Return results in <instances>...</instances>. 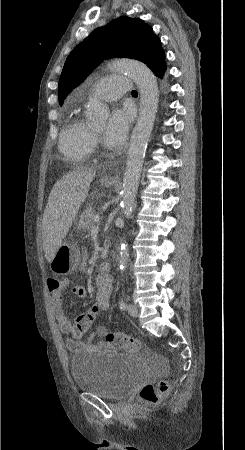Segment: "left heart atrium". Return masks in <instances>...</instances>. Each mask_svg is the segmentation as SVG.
Wrapping results in <instances>:
<instances>
[{"mask_svg": "<svg viewBox=\"0 0 245 450\" xmlns=\"http://www.w3.org/2000/svg\"><path fill=\"white\" fill-rule=\"evenodd\" d=\"M133 112L127 105L115 109L104 131V143L108 148L116 149L126 140Z\"/></svg>", "mask_w": 245, "mask_h": 450, "instance_id": "39dd6f15", "label": "left heart atrium"}]
</instances>
